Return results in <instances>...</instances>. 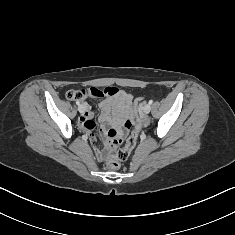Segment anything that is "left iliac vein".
Segmentation results:
<instances>
[{"mask_svg":"<svg viewBox=\"0 0 235 235\" xmlns=\"http://www.w3.org/2000/svg\"><path fill=\"white\" fill-rule=\"evenodd\" d=\"M150 111H151V106H150V104H145L144 107H143V112H144L145 114H148Z\"/></svg>","mask_w":235,"mask_h":235,"instance_id":"left-iliac-vein-1","label":"left iliac vein"}]
</instances>
